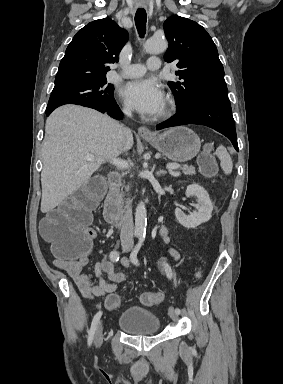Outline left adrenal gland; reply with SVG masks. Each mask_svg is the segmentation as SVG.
Segmentation results:
<instances>
[{"mask_svg":"<svg viewBox=\"0 0 283 384\" xmlns=\"http://www.w3.org/2000/svg\"><path fill=\"white\" fill-rule=\"evenodd\" d=\"M164 174H167L165 170H160V172H156V176H164Z\"/></svg>","mask_w":283,"mask_h":384,"instance_id":"a2214340","label":"left adrenal gland"}]
</instances>
